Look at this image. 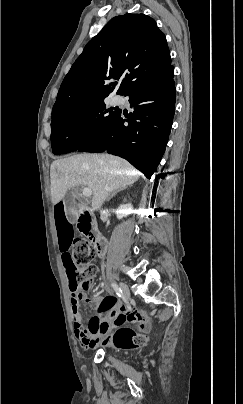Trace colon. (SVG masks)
Here are the masks:
<instances>
[{
    "instance_id": "5ec220e1",
    "label": "colon",
    "mask_w": 243,
    "mask_h": 404,
    "mask_svg": "<svg viewBox=\"0 0 243 404\" xmlns=\"http://www.w3.org/2000/svg\"><path fill=\"white\" fill-rule=\"evenodd\" d=\"M72 263L76 284L82 289H88L97 270L94 250L89 241L75 240L72 250ZM142 342L143 338L127 327L119 328L113 335V343L118 348H129Z\"/></svg>"
}]
</instances>
